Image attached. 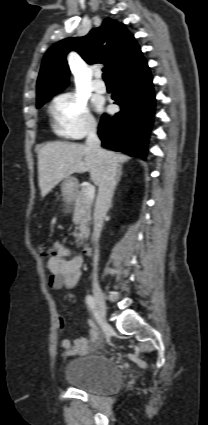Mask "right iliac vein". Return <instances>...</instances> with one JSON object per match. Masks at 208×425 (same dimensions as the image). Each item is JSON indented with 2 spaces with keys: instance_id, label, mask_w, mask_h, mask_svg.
Masks as SVG:
<instances>
[{
  "instance_id": "1",
  "label": "right iliac vein",
  "mask_w": 208,
  "mask_h": 425,
  "mask_svg": "<svg viewBox=\"0 0 208 425\" xmlns=\"http://www.w3.org/2000/svg\"><path fill=\"white\" fill-rule=\"evenodd\" d=\"M93 294H94L95 302L98 307L99 314L104 321L106 316L107 306H106L104 294L98 284H94Z\"/></svg>"
}]
</instances>
